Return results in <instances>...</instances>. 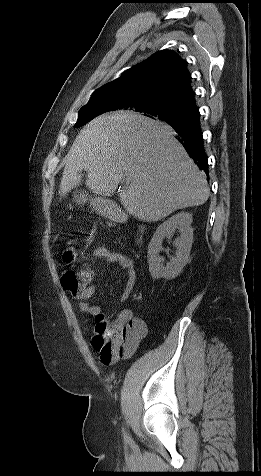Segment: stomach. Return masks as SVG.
Segmentation results:
<instances>
[{"label": "stomach", "mask_w": 261, "mask_h": 476, "mask_svg": "<svg viewBox=\"0 0 261 476\" xmlns=\"http://www.w3.org/2000/svg\"><path fill=\"white\" fill-rule=\"evenodd\" d=\"M73 201L79 205H84L86 202L90 201V204L93 205V207L97 211H99L100 213L104 215H110V212L108 210V200L102 197L92 198L88 196V194L85 193L84 191L76 190L73 195Z\"/></svg>", "instance_id": "1"}]
</instances>
